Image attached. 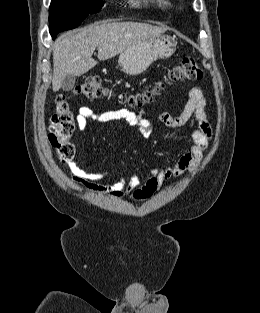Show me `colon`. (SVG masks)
Returning <instances> with one entry per match:
<instances>
[{
	"label": "colon",
	"mask_w": 260,
	"mask_h": 313,
	"mask_svg": "<svg viewBox=\"0 0 260 313\" xmlns=\"http://www.w3.org/2000/svg\"><path fill=\"white\" fill-rule=\"evenodd\" d=\"M202 78V71L195 59L191 56H184L180 63L167 75L165 83H160L151 90L143 91L127 98L124 101L134 107H142L148 104L154 95L166 84L177 81H197ZM76 93L88 99H97L107 94L100 77L92 76L76 87ZM75 130V114L64 97L56 99L55 110L50 117L48 129V140L54 149L56 158L66 163L73 159L75 147L71 137Z\"/></svg>",
	"instance_id": "obj_1"
}]
</instances>
